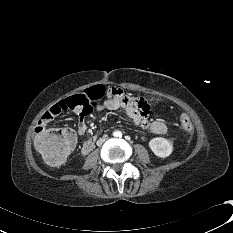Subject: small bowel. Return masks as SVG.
<instances>
[{
  "label": "small bowel",
  "mask_w": 233,
  "mask_h": 233,
  "mask_svg": "<svg viewBox=\"0 0 233 233\" xmlns=\"http://www.w3.org/2000/svg\"><path fill=\"white\" fill-rule=\"evenodd\" d=\"M63 101L52 105L40 118L37 128H46V126L64 109ZM93 110V109H91ZM82 112L76 110L75 113L79 116L77 125V133L82 135L87 131V125L84 117L91 112ZM95 111H124L135 125L141 126L149 133L154 135H163L167 132V125L160 120H150L153 113L152 105L144 98L136 97L134 94L127 93L124 89L114 86L109 89V92L97 103L94 107ZM72 131V130H71ZM74 134V132L72 131ZM97 137H91L86 142L79 146V151L83 155H88L95 145Z\"/></svg>",
  "instance_id": "obj_1"
}]
</instances>
